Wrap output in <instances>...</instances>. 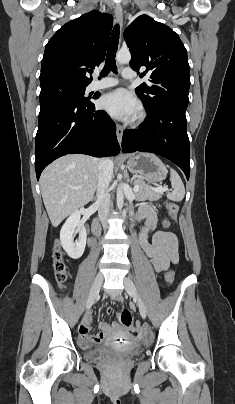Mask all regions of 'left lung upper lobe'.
<instances>
[{
  "mask_svg": "<svg viewBox=\"0 0 235 404\" xmlns=\"http://www.w3.org/2000/svg\"><path fill=\"white\" fill-rule=\"evenodd\" d=\"M132 55L130 66L149 83L136 88L147 112L163 106L186 109L190 87L187 51L179 36L168 26L147 15L137 17L125 31Z\"/></svg>",
  "mask_w": 235,
  "mask_h": 404,
  "instance_id": "1",
  "label": "left lung upper lobe"
}]
</instances>
